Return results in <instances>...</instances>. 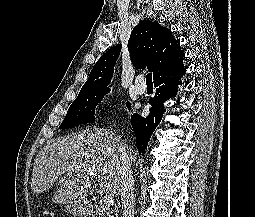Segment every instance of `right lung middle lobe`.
<instances>
[{
    "instance_id": "1",
    "label": "right lung middle lobe",
    "mask_w": 255,
    "mask_h": 217,
    "mask_svg": "<svg viewBox=\"0 0 255 217\" xmlns=\"http://www.w3.org/2000/svg\"><path fill=\"white\" fill-rule=\"evenodd\" d=\"M108 92L109 90L79 94L69 107L68 112L59 128L68 129L78 124L94 122L95 108ZM127 106L129 107L130 104L128 103Z\"/></svg>"
}]
</instances>
